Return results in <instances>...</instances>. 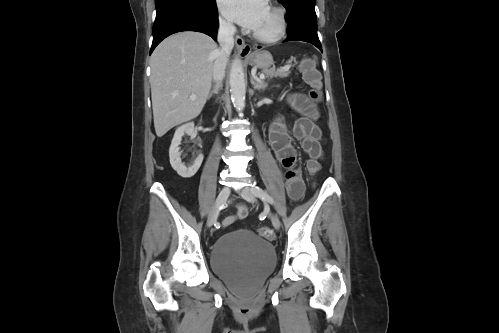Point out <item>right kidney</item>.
I'll use <instances>...</instances> for the list:
<instances>
[{"mask_svg": "<svg viewBox=\"0 0 499 333\" xmlns=\"http://www.w3.org/2000/svg\"><path fill=\"white\" fill-rule=\"evenodd\" d=\"M194 131V123H186L180 127H178L175 131L174 137L171 142V146L169 149V158L170 164L172 168L183 178H190L196 174L199 170L202 161L203 154H199L198 157L193 161V164L190 166H185L181 162V153L179 152V145L181 144L182 136L185 134L191 135Z\"/></svg>", "mask_w": 499, "mask_h": 333, "instance_id": "obj_1", "label": "right kidney"}]
</instances>
